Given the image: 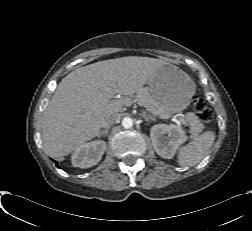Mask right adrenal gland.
<instances>
[{
	"mask_svg": "<svg viewBox=\"0 0 252 231\" xmlns=\"http://www.w3.org/2000/svg\"><path fill=\"white\" fill-rule=\"evenodd\" d=\"M108 131H109V128H106L105 130L101 131L98 135V137H101V136H107L108 135Z\"/></svg>",
	"mask_w": 252,
	"mask_h": 231,
	"instance_id": "1",
	"label": "right adrenal gland"
}]
</instances>
